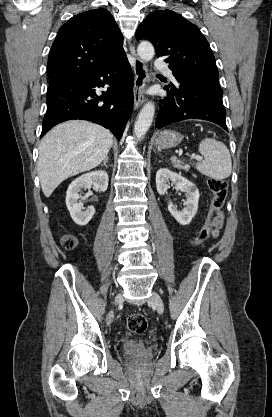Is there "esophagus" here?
I'll return each mask as SVG.
<instances>
[{"label":"esophagus","instance_id":"34e87169","mask_svg":"<svg viewBox=\"0 0 272 417\" xmlns=\"http://www.w3.org/2000/svg\"><path fill=\"white\" fill-rule=\"evenodd\" d=\"M130 52L134 60V108L138 109L145 101L144 89L149 81L148 69L144 62L137 56L135 48L130 45Z\"/></svg>","mask_w":272,"mask_h":417}]
</instances>
